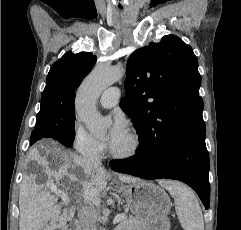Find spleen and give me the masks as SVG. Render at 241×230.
I'll return each instance as SVG.
<instances>
[{
    "label": "spleen",
    "mask_w": 241,
    "mask_h": 230,
    "mask_svg": "<svg viewBox=\"0 0 241 230\" xmlns=\"http://www.w3.org/2000/svg\"><path fill=\"white\" fill-rule=\"evenodd\" d=\"M160 185L174 199L176 214L184 230H204L203 215L195 193L175 181H161Z\"/></svg>",
    "instance_id": "obj_1"
}]
</instances>
